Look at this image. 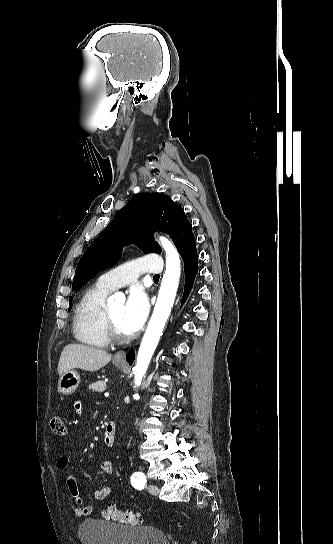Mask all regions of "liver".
Instances as JSON below:
<instances>
[{"mask_svg": "<svg viewBox=\"0 0 333 544\" xmlns=\"http://www.w3.org/2000/svg\"><path fill=\"white\" fill-rule=\"evenodd\" d=\"M111 354L104 350L82 344H68L61 353L58 363V374L61 377L66 371L80 368L85 371H97L108 364Z\"/></svg>", "mask_w": 333, "mask_h": 544, "instance_id": "obj_1", "label": "liver"}]
</instances>
